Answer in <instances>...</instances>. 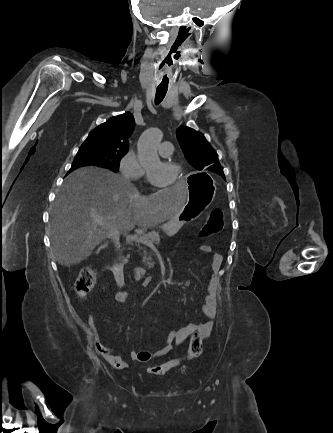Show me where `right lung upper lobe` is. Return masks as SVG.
<instances>
[{"label": "right lung upper lobe", "instance_id": "cb5924a9", "mask_svg": "<svg viewBox=\"0 0 333 433\" xmlns=\"http://www.w3.org/2000/svg\"><path fill=\"white\" fill-rule=\"evenodd\" d=\"M135 128V120L130 112L110 118L90 132L86 143L102 147L128 150V138Z\"/></svg>", "mask_w": 333, "mask_h": 433}]
</instances>
